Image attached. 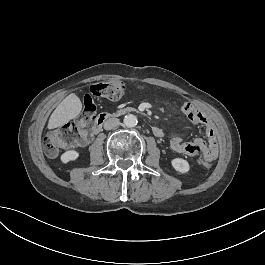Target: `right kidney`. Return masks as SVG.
<instances>
[{
  "instance_id": "obj_1",
  "label": "right kidney",
  "mask_w": 265,
  "mask_h": 265,
  "mask_svg": "<svg viewBox=\"0 0 265 265\" xmlns=\"http://www.w3.org/2000/svg\"><path fill=\"white\" fill-rule=\"evenodd\" d=\"M79 156H80L79 150L77 148H72L61 154L60 161L63 165H66L71 161H76L79 158Z\"/></svg>"
}]
</instances>
